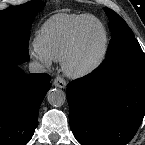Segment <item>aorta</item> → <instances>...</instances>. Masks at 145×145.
<instances>
[{
	"label": "aorta",
	"instance_id": "762f6f07",
	"mask_svg": "<svg viewBox=\"0 0 145 145\" xmlns=\"http://www.w3.org/2000/svg\"><path fill=\"white\" fill-rule=\"evenodd\" d=\"M47 100L50 105L54 107H60L62 106L66 101V94L61 89H51L47 93Z\"/></svg>",
	"mask_w": 145,
	"mask_h": 145
}]
</instances>
